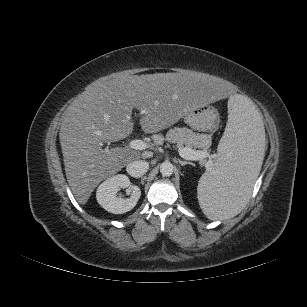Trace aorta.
<instances>
[{
  "instance_id": "1",
  "label": "aorta",
  "mask_w": 307,
  "mask_h": 307,
  "mask_svg": "<svg viewBox=\"0 0 307 307\" xmlns=\"http://www.w3.org/2000/svg\"><path fill=\"white\" fill-rule=\"evenodd\" d=\"M174 166L170 162H163L160 165V173L162 176H171L173 174Z\"/></svg>"
}]
</instances>
